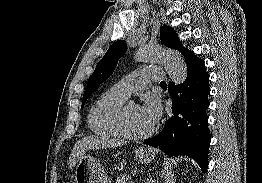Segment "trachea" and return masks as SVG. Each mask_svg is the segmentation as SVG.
Returning a JSON list of instances; mask_svg holds the SVG:
<instances>
[{"mask_svg":"<svg viewBox=\"0 0 262 183\" xmlns=\"http://www.w3.org/2000/svg\"><path fill=\"white\" fill-rule=\"evenodd\" d=\"M160 85H166V82L165 81H161Z\"/></svg>","mask_w":262,"mask_h":183,"instance_id":"trachea-1","label":"trachea"}]
</instances>
